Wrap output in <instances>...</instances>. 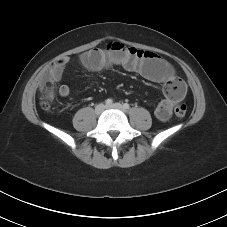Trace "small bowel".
<instances>
[{
	"label": "small bowel",
	"instance_id": "1",
	"mask_svg": "<svg viewBox=\"0 0 227 227\" xmlns=\"http://www.w3.org/2000/svg\"><path fill=\"white\" fill-rule=\"evenodd\" d=\"M69 59L64 58L54 64L46 76L53 82H59ZM81 65L91 72H99L114 66H120L129 72H135L144 78L163 84L164 99L157 105L155 116L160 121L169 119L173 107L185 96V84L176 77L175 71L165 59L150 51L126 47L112 42L106 48H94L80 56ZM58 94L67 98L70 88L61 85Z\"/></svg>",
	"mask_w": 227,
	"mask_h": 227
}]
</instances>
